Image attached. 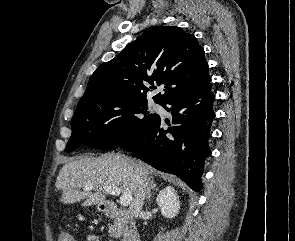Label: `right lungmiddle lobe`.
<instances>
[{
  "label": "right lung middle lobe",
  "mask_w": 295,
  "mask_h": 241,
  "mask_svg": "<svg viewBox=\"0 0 295 241\" xmlns=\"http://www.w3.org/2000/svg\"><path fill=\"white\" fill-rule=\"evenodd\" d=\"M158 117L147 111V102L113 97L79 102L71 121L72 135L66 151L81 144L109 150L142 132Z\"/></svg>",
  "instance_id": "dd1d6c3e"
}]
</instances>
